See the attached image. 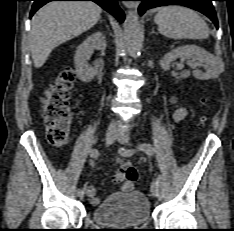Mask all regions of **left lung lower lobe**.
I'll list each match as a JSON object with an SVG mask.
<instances>
[{"label":"left lung lower lobe","mask_w":234,"mask_h":231,"mask_svg":"<svg viewBox=\"0 0 234 231\" xmlns=\"http://www.w3.org/2000/svg\"><path fill=\"white\" fill-rule=\"evenodd\" d=\"M138 1L142 2L138 9L140 14H143L146 11V9L157 6H164L169 4L183 5L205 14L213 21L216 28H218L216 13L212 5L213 0H138Z\"/></svg>","instance_id":"obj_1"}]
</instances>
